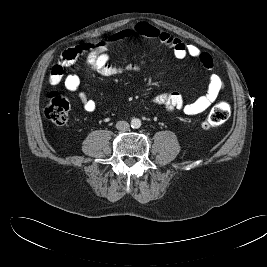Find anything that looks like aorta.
Returning <instances> with one entry per match:
<instances>
[{
	"mask_svg": "<svg viewBox=\"0 0 267 267\" xmlns=\"http://www.w3.org/2000/svg\"><path fill=\"white\" fill-rule=\"evenodd\" d=\"M140 126H141V120H140V119H138V118H133V119L131 120V127H132V128L138 129V128H140Z\"/></svg>",
	"mask_w": 267,
	"mask_h": 267,
	"instance_id": "obj_1",
	"label": "aorta"
}]
</instances>
